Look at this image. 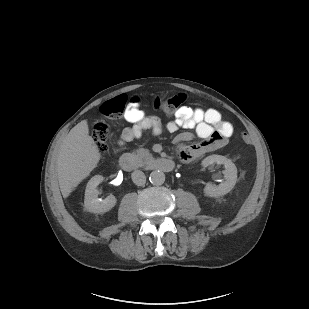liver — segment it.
Here are the masks:
<instances>
[{
  "label": "liver",
  "instance_id": "6515ba94",
  "mask_svg": "<svg viewBox=\"0 0 309 309\" xmlns=\"http://www.w3.org/2000/svg\"><path fill=\"white\" fill-rule=\"evenodd\" d=\"M99 160V149L89 135L87 121L83 120L70 130L57 154L58 181L64 198L90 175Z\"/></svg>",
  "mask_w": 309,
  "mask_h": 309
}]
</instances>
